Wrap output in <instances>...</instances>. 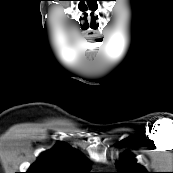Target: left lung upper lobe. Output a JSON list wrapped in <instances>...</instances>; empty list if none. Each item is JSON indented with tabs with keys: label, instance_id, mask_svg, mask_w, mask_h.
<instances>
[{
	"label": "left lung upper lobe",
	"instance_id": "5c2ea615",
	"mask_svg": "<svg viewBox=\"0 0 173 173\" xmlns=\"http://www.w3.org/2000/svg\"><path fill=\"white\" fill-rule=\"evenodd\" d=\"M117 168L121 171L118 173H148L146 169L138 164L134 156L126 152L120 158V161L116 163Z\"/></svg>",
	"mask_w": 173,
	"mask_h": 173
}]
</instances>
